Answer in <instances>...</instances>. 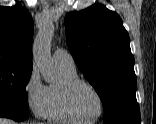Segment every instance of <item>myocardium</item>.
Listing matches in <instances>:
<instances>
[{"label": "myocardium", "mask_w": 156, "mask_h": 124, "mask_svg": "<svg viewBox=\"0 0 156 124\" xmlns=\"http://www.w3.org/2000/svg\"><path fill=\"white\" fill-rule=\"evenodd\" d=\"M81 85L87 86L88 88H90L96 94V96L99 99V103H100L99 113L97 114V116H95L94 118L89 119V120L82 119L75 112V110L73 109V106H72V100H71L72 93L75 90V88H77L78 86H81ZM60 93H61V100H62V106H63L64 111L69 116V118L76 123H80V124L94 123V122L98 121L99 119H101V117L103 116V114L105 112V100H104L101 92L94 84H92L91 82H89L85 79L75 78V79L63 81L60 85Z\"/></svg>", "instance_id": "myocardium-1"}]
</instances>
